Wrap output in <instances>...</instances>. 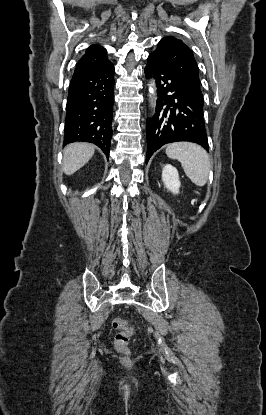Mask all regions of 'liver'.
<instances>
[{
  "instance_id": "liver-1",
  "label": "liver",
  "mask_w": 266,
  "mask_h": 415,
  "mask_svg": "<svg viewBox=\"0 0 266 415\" xmlns=\"http://www.w3.org/2000/svg\"><path fill=\"white\" fill-rule=\"evenodd\" d=\"M94 146L88 143H71L64 149L63 171L72 175L83 167L94 155Z\"/></svg>"
}]
</instances>
